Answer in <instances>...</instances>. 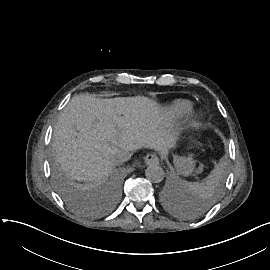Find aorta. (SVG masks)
I'll list each match as a JSON object with an SVG mask.
<instances>
[{"label":"aorta","mask_w":270,"mask_h":270,"mask_svg":"<svg viewBox=\"0 0 270 270\" xmlns=\"http://www.w3.org/2000/svg\"><path fill=\"white\" fill-rule=\"evenodd\" d=\"M146 177L152 183H159L163 181L165 172L162 167L157 165H150L146 170Z\"/></svg>","instance_id":"obj_1"}]
</instances>
